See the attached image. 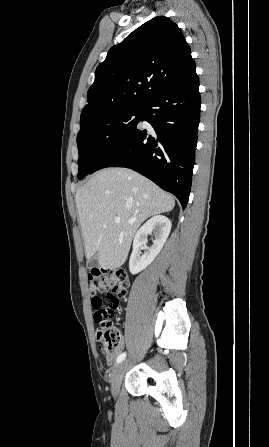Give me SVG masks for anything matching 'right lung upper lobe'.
<instances>
[{
	"instance_id": "cb5924a9",
	"label": "right lung upper lobe",
	"mask_w": 269,
	"mask_h": 447,
	"mask_svg": "<svg viewBox=\"0 0 269 447\" xmlns=\"http://www.w3.org/2000/svg\"><path fill=\"white\" fill-rule=\"evenodd\" d=\"M193 62L180 28L155 17L113 46L95 71L81 125L117 108L144 101L177 79Z\"/></svg>"
}]
</instances>
